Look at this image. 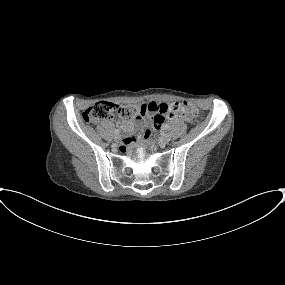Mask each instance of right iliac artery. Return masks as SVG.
Wrapping results in <instances>:
<instances>
[{"label": "right iliac artery", "instance_id": "right-iliac-artery-1", "mask_svg": "<svg viewBox=\"0 0 285 285\" xmlns=\"http://www.w3.org/2000/svg\"><path fill=\"white\" fill-rule=\"evenodd\" d=\"M119 132H120L119 129H116V130H115V133H116V134H119Z\"/></svg>", "mask_w": 285, "mask_h": 285}]
</instances>
